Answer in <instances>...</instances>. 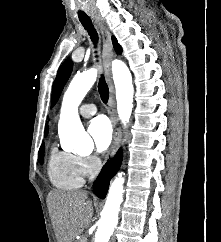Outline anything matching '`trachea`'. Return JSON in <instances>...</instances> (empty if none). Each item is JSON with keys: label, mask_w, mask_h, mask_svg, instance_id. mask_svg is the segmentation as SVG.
Returning a JSON list of instances; mask_svg holds the SVG:
<instances>
[{"label": "trachea", "mask_w": 221, "mask_h": 242, "mask_svg": "<svg viewBox=\"0 0 221 242\" xmlns=\"http://www.w3.org/2000/svg\"><path fill=\"white\" fill-rule=\"evenodd\" d=\"M80 22L84 26V28L88 31L90 38L96 47L97 43H98V34H97L91 20L88 18H84V19H80ZM98 91H99L101 100L104 103H107L108 99H109V89H108V86H107L103 76H101V78L99 80Z\"/></svg>", "instance_id": "3493384b"}]
</instances>
